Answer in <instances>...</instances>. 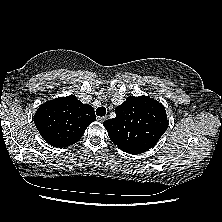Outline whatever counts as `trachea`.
Masks as SVG:
<instances>
[{
    "instance_id": "1",
    "label": "trachea",
    "mask_w": 222,
    "mask_h": 222,
    "mask_svg": "<svg viewBox=\"0 0 222 222\" xmlns=\"http://www.w3.org/2000/svg\"><path fill=\"white\" fill-rule=\"evenodd\" d=\"M96 114H97V116H100V117H102V116H105V114H106V108L105 107H98L97 109H96Z\"/></svg>"
}]
</instances>
